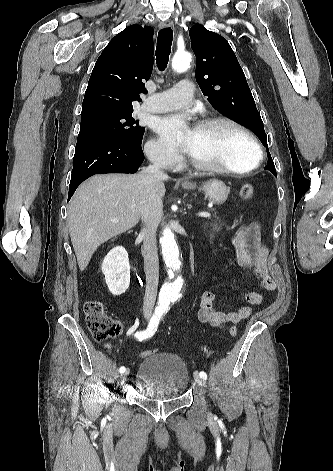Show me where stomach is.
<instances>
[{
	"label": "stomach",
	"instance_id": "0dacf381",
	"mask_svg": "<svg viewBox=\"0 0 333 471\" xmlns=\"http://www.w3.org/2000/svg\"><path fill=\"white\" fill-rule=\"evenodd\" d=\"M182 187L187 190L195 189V183L185 182L182 184ZM201 189L204 191L205 196L215 204H223L230 193V188L226 186V184L220 180H209L205 182Z\"/></svg>",
	"mask_w": 333,
	"mask_h": 471
}]
</instances>
